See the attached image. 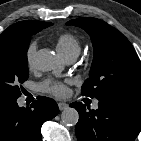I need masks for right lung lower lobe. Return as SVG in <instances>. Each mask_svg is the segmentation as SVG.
Returning <instances> with one entry per match:
<instances>
[{"label":"right lung lower lobe","instance_id":"1","mask_svg":"<svg viewBox=\"0 0 141 141\" xmlns=\"http://www.w3.org/2000/svg\"><path fill=\"white\" fill-rule=\"evenodd\" d=\"M16 100L0 102V141H41L42 124L59 112L56 102L38 97L30 108H20Z\"/></svg>","mask_w":141,"mask_h":141}]
</instances>
